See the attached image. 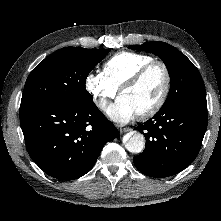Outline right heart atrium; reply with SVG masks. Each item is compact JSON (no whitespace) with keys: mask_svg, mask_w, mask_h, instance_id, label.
<instances>
[{"mask_svg":"<svg viewBox=\"0 0 221 221\" xmlns=\"http://www.w3.org/2000/svg\"><path fill=\"white\" fill-rule=\"evenodd\" d=\"M84 88L91 96L96 107L104 111L116 96L117 89L106 79L102 72L91 71L84 79Z\"/></svg>","mask_w":221,"mask_h":221,"instance_id":"right-heart-atrium-1","label":"right heart atrium"}]
</instances>
